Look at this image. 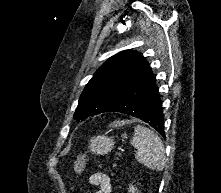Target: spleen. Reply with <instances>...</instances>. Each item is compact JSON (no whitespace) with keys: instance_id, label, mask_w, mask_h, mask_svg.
<instances>
[{"instance_id":"spleen-1","label":"spleen","mask_w":221,"mask_h":193,"mask_svg":"<svg viewBox=\"0 0 221 193\" xmlns=\"http://www.w3.org/2000/svg\"><path fill=\"white\" fill-rule=\"evenodd\" d=\"M137 149L135 158L152 170L161 171L165 167V149L159 136L147 127L137 125L131 140Z\"/></svg>"}]
</instances>
